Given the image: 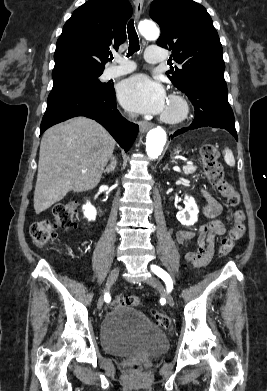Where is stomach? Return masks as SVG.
I'll return each instance as SVG.
<instances>
[{"label": "stomach", "instance_id": "stomach-1", "mask_svg": "<svg viewBox=\"0 0 267 391\" xmlns=\"http://www.w3.org/2000/svg\"><path fill=\"white\" fill-rule=\"evenodd\" d=\"M175 153H179V149L175 150Z\"/></svg>", "mask_w": 267, "mask_h": 391}]
</instances>
